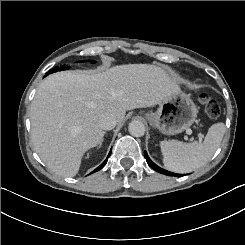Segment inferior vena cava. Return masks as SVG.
Segmentation results:
<instances>
[{"mask_svg":"<svg viewBox=\"0 0 245 245\" xmlns=\"http://www.w3.org/2000/svg\"><path fill=\"white\" fill-rule=\"evenodd\" d=\"M116 118L112 113H103L98 120V124L103 130H111L116 126Z\"/></svg>","mask_w":245,"mask_h":245,"instance_id":"obj_1","label":"inferior vena cava"}]
</instances>
